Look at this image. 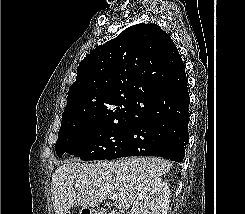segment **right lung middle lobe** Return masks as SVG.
I'll return each instance as SVG.
<instances>
[{"instance_id": "right-lung-middle-lobe-1", "label": "right lung middle lobe", "mask_w": 245, "mask_h": 214, "mask_svg": "<svg viewBox=\"0 0 245 214\" xmlns=\"http://www.w3.org/2000/svg\"><path fill=\"white\" fill-rule=\"evenodd\" d=\"M134 114L104 120L62 116L55 147L58 157L67 152L84 161L115 159L126 144Z\"/></svg>"}]
</instances>
